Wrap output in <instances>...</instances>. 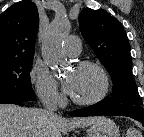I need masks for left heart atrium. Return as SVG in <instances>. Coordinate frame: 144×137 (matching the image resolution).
<instances>
[{
    "mask_svg": "<svg viewBox=\"0 0 144 137\" xmlns=\"http://www.w3.org/2000/svg\"><path fill=\"white\" fill-rule=\"evenodd\" d=\"M64 89L66 90V92H68L69 94H72L73 89H74V80L73 78H67L64 81Z\"/></svg>",
    "mask_w": 144,
    "mask_h": 137,
    "instance_id": "39dd6f15",
    "label": "left heart atrium"
}]
</instances>
